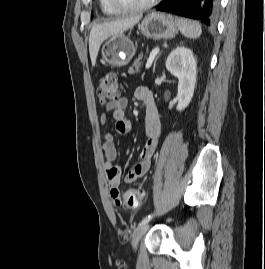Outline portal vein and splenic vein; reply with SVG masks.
<instances>
[{"label":"portal vein and splenic vein","instance_id":"obj_1","mask_svg":"<svg viewBox=\"0 0 265 269\" xmlns=\"http://www.w3.org/2000/svg\"><path fill=\"white\" fill-rule=\"evenodd\" d=\"M159 53V48H154L152 50V52L150 53L149 55V58L147 60V63H146V69H148L151 65H152V62L155 58V56Z\"/></svg>","mask_w":265,"mask_h":269}]
</instances>
